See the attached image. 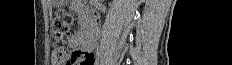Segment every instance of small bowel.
Returning <instances> with one entry per match:
<instances>
[{"instance_id":"c3829d8e","label":"small bowel","mask_w":232,"mask_h":65,"mask_svg":"<svg viewBox=\"0 0 232 65\" xmlns=\"http://www.w3.org/2000/svg\"><path fill=\"white\" fill-rule=\"evenodd\" d=\"M69 44H70V46H72V47H76V46H79V45H82V46L84 47L85 38H84V36H83V33H76V34H73V35L70 37V39H69ZM95 45H96V44H94L93 48L90 49V50L85 49V47H84V49H85L86 51H88V52H91V51H93V50L95 49Z\"/></svg>"}]
</instances>
